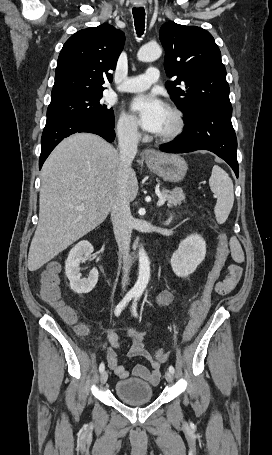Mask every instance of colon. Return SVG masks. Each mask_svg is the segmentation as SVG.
<instances>
[{"label":"colon","mask_w":272,"mask_h":455,"mask_svg":"<svg viewBox=\"0 0 272 455\" xmlns=\"http://www.w3.org/2000/svg\"><path fill=\"white\" fill-rule=\"evenodd\" d=\"M229 254V238L226 233L220 232L215 259L208 272L201 296L198 300L194 301L190 307V320L182 335L183 343H186L193 338L205 319L214 293V286L220 279ZM58 271L59 266L57 263L49 265L48 269L42 275L40 294L42 299L55 307L66 320L73 321L75 319L74 312L69 307L65 306L61 299L60 283L57 276ZM78 329L80 332L85 331L83 327H79ZM169 355L170 352L167 350H158L155 357L157 361L164 362L168 359Z\"/></svg>","instance_id":"obj_1"}]
</instances>
